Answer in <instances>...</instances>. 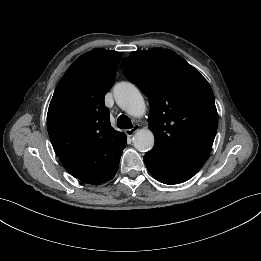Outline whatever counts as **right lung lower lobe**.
<instances>
[{
	"label": "right lung lower lobe",
	"mask_w": 261,
	"mask_h": 261,
	"mask_svg": "<svg viewBox=\"0 0 261 261\" xmlns=\"http://www.w3.org/2000/svg\"><path fill=\"white\" fill-rule=\"evenodd\" d=\"M114 175H115V174H114ZM114 175H113L110 179H112V178L114 177ZM110 179H109V180H110Z\"/></svg>",
	"instance_id": "1"
}]
</instances>
